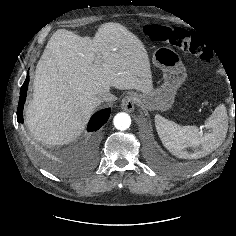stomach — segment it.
I'll return each instance as SVG.
<instances>
[{"mask_svg":"<svg viewBox=\"0 0 236 236\" xmlns=\"http://www.w3.org/2000/svg\"><path fill=\"white\" fill-rule=\"evenodd\" d=\"M152 62L163 72V83L137 94V103L148 110L166 111L172 107L185 82L186 69L178 53L168 47L157 48Z\"/></svg>","mask_w":236,"mask_h":236,"instance_id":"obj_1","label":"stomach"}]
</instances>
